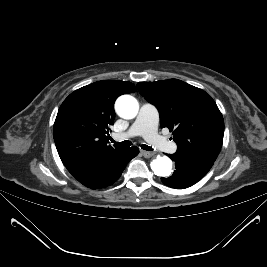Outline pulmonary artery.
Here are the masks:
<instances>
[{"label": "pulmonary artery", "instance_id": "1", "mask_svg": "<svg viewBox=\"0 0 267 267\" xmlns=\"http://www.w3.org/2000/svg\"><path fill=\"white\" fill-rule=\"evenodd\" d=\"M158 123L157 108L152 104L144 103L131 127L126 132L114 134L113 138L122 141L130 137L143 136L153 147L170 153L175 152L177 145L158 134Z\"/></svg>", "mask_w": 267, "mask_h": 267}]
</instances>
